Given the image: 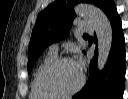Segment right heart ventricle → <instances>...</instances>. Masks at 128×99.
<instances>
[{
    "instance_id": "e07e8e85",
    "label": "right heart ventricle",
    "mask_w": 128,
    "mask_h": 99,
    "mask_svg": "<svg viewBox=\"0 0 128 99\" xmlns=\"http://www.w3.org/2000/svg\"><path fill=\"white\" fill-rule=\"evenodd\" d=\"M55 58H57L56 53L50 51L43 58V60L40 62V64L37 66V68L33 74L32 82H31V90H30V98L31 99H51V98H53L52 96L47 95L39 90L38 85H37V77H38V73L41 70V68L44 65H46L47 63L54 60Z\"/></svg>"
}]
</instances>
